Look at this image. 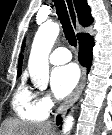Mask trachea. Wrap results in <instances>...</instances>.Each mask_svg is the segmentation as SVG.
Returning <instances> with one entry per match:
<instances>
[{"label":"trachea","instance_id":"obj_1","mask_svg":"<svg viewBox=\"0 0 112 135\" xmlns=\"http://www.w3.org/2000/svg\"><path fill=\"white\" fill-rule=\"evenodd\" d=\"M54 6L56 7V12L58 18L62 24L63 32L69 44L71 46L77 45V39L75 36V32L71 25V21L68 15L67 7L64 0H53Z\"/></svg>","mask_w":112,"mask_h":135}]
</instances>
